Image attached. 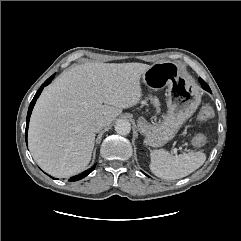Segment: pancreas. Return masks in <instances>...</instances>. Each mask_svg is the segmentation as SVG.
I'll list each match as a JSON object with an SVG mask.
<instances>
[{"label":"pancreas","instance_id":"1","mask_svg":"<svg viewBox=\"0 0 241 241\" xmlns=\"http://www.w3.org/2000/svg\"><path fill=\"white\" fill-rule=\"evenodd\" d=\"M154 104H155V105H157V104H158V101H157L156 99L154 100Z\"/></svg>","mask_w":241,"mask_h":241}]
</instances>
